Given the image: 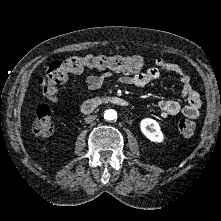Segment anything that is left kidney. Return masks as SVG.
Returning a JSON list of instances; mask_svg holds the SVG:
<instances>
[{
    "mask_svg": "<svg viewBox=\"0 0 221 221\" xmlns=\"http://www.w3.org/2000/svg\"><path fill=\"white\" fill-rule=\"evenodd\" d=\"M140 129L144 136H146L152 142L160 143L164 139L160 126L154 119H143L140 123Z\"/></svg>",
    "mask_w": 221,
    "mask_h": 221,
    "instance_id": "obj_1",
    "label": "left kidney"
}]
</instances>
